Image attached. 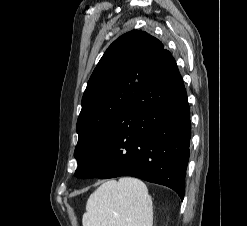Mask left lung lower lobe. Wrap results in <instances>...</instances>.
Returning a JSON list of instances; mask_svg holds the SVG:
<instances>
[{"label": "left lung lower lobe", "mask_w": 247, "mask_h": 226, "mask_svg": "<svg viewBox=\"0 0 247 226\" xmlns=\"http://www.w3.org/2000/svg\"><path fill=\"white\" fill-rule=\"evenodd\" d=\"M190 137L184 83L164 49L88 157L80 178L133 176L167 186L183 199Z\"/></svg>", "instance_id": "left-lung-lower-lobe-1"}]
</instances>
